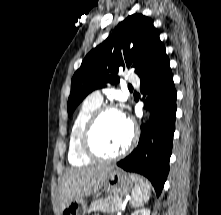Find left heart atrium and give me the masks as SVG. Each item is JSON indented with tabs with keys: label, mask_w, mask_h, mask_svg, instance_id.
I'll return each instance as SVG.
<instances>
[{
	"label": "left heart atrium",
	"mask_w": 221,
	"mask_h": 215,
	"mask_svg": "<svg viewBox=\"0 0 221 215\" xmlns=\"http://www.w3.org/2000/svg\"><path fill=\"white\" fill-rule=\"evenodd\" d=\"M122 116H123V118L125 119V117H124V115L123 114H121ZM126 120V119H125Z\"/></svg>",
	"instance_id": "1"
}]
</instances>
